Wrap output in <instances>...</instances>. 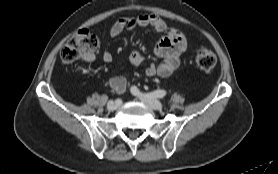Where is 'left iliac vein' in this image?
I'll return each mask as SVG.
<instances>
[{
  "label": "left iliac vein",
  "instance_id": "left-iliac-vein-1",
  "mask_svg": "<svg viewBox=\"0 0 278 174\" xmlns=\"http://www.w3.org/2000/svg\"><path fill=\"white\" fill-rule=\"evenodd\" d=\"M139 99L154 110H161L163 105L159 100L139 97Z\"/></svg>",
  "mask_w": 278,
  "mask_h": 174
}]
</instances>
